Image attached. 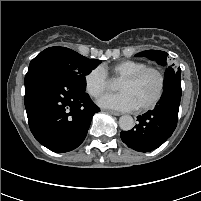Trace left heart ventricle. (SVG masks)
I'll return each mask as SVG.
<instances>
[{"label":"left heart ventricle","mask_w":201,"mask_h":201,"mask_svg":"<svg viewBox=\"0 0 201 201\" xmlns=\"http://www.w3.org/2000/svg\"><path fill=\"white\" fill-rule=\"evenodd\" d=\"M158 89V78L155 73L148 72L135 82L120 81L118 90L128 93L137 106L153 99Z\"/></svg>","instance_id":"obj_1"}]
</instances>
